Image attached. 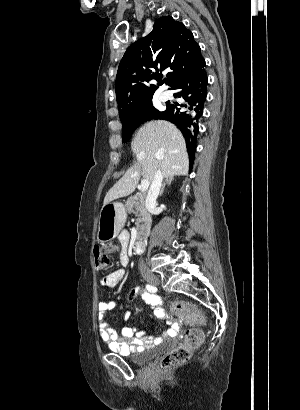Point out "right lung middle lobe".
Returning <instances> with one entry per match:
<instances>
[{"mask_svg":"<svg viewBox=\"0 0 300 410\" xmlns=\"http://www.w3.org/2000/svg\"><path fill=\"white\" fill-rule=\"evenodd\" d=\"M152 99L149 100L147 106L134 118L122 122L123 125V141L127 142L133 131L143 122L154 118L159 111L152 105Z\"/></svg>","mask_w":300,"mask_h":410,"instance_id":"1","label":"right lung middle lobe"}]
</instances>
